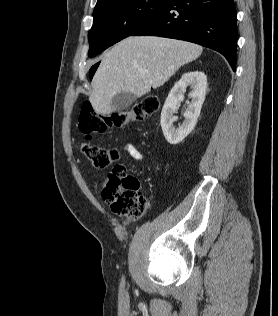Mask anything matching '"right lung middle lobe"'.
Returning a JSON list of instances; mask_svg holds the SVG:
<instances>
[{
  "label": "right lung middle lobe",
  "mask_w": 278,
  "mask_h": 316,
  "mask_svg": "<svg viewBox=\"0 0 278 316\" xmlns=\"http://www.w3.org/2000/svg\"><path fill=\"white\" fill-rule=\"evenodd\" d=\"M165 0H106L95 6L88 33L89 57L132 35L149 21ZM96 68L90 69L92 78Z\"/></svg>",
  "instance_id": "obj_1"
}]
</instances>
